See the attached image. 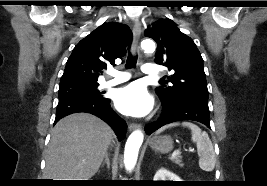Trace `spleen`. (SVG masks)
<instances>
[{
	"label": "spleen",
	"mask_w": 267,
	"mask_h": 186,
	"mask_svg": "<svg viewBox=\"0 0 267 186\" xmlns=\"http://www.w3.org/2000/svg\"><path fill=\"white\" fill-rule=\"evenodd\" d=\"M179 123H172L167 126L160 128L156 133H160L168 127L177 126ZM182 125L184 127H188L191 130L192 141L196 143L197 152L199 155V166L202 170L212 171L215 167V153L213 149L212 142L206 132H202L201 129L191 123V122H183Z\"/></svg>",
	"instance_id": "spleen-1"
}]
</instances>
